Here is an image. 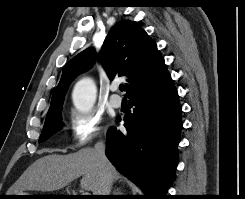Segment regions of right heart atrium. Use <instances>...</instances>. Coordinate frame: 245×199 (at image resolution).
Masks as SVG:
<instances>
[{"instance_id": "obj_1", "label": "right heart atrium", "mask_w": 245, "mask_h": 199, "mask_svg": "<svg viewBox=\"0 0 245 199\" xmlns=\"http://www.w3.org/2000/svg\"><path fill=\"white\" fill-rule=\"evenodd\" d=\"M68 123L72 140L77 147L85 146L103 132L102 117L94 110H72Z\"/></svg>"}]
</instances>
